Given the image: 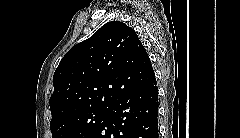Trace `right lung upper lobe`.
Here are the masks:
<instances>
[{
	"label": "right lung upper lobe",
	"mask_w": 240,
	"mask_h": 138,
	"mask_svg": "<svg viewBox=\"0 0 240 138\" xmlns=\"http://www.w3.org/2000/svg\"><path fill=\"white\" fill-rule=\"evenodd\" d=\"M154 76L136 32L123 22H108L60 61L49 101L51 122L91 108H108Z\"/></svg>",
	"instance_id": "1"
}]
</instances>
